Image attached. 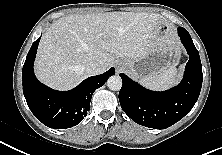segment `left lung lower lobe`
Masks as SVG:
<instances>
[{"mask_svg":"<svg viewBox=\"0 0 222 155\" xmlns=\"http://www.w3.org/2000/svg\"><path fill=\"white\" fill-rule=\"evenodd\" d=\"M178 35L190 57L179 85L156 92L120 74L123 80L119 92L121 107L140 125L154 129L168 128L187 115L199 97L203 80L199 52L186 29L178 27Z\"/></svg>","mask_w":222,"mask_h":155,"instance_id":"0a47b994","label":"left lung lower lobe"}]
</instances>
